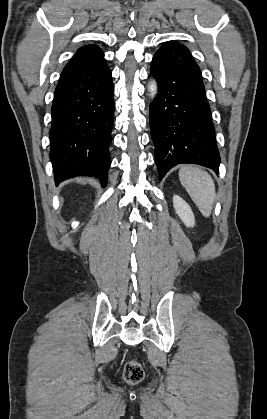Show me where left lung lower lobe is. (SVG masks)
Listing matches in <instances>:
<instances>
[{
	"label": "left lung lower lobe",
	"instance_id": "left-lung-lower-lobe-1",
	"mask_svg": "<svg viewBox=\"0 0 267 419\" xmlns=\"http://www.w3.org/2000/svg\"><path fill=\"white\" fill-rule=\"evenodd\" d=\"M150 70L158 82L149 110L159 180L181 163L218 173L220 156L211 110L191 53L179 43L166 42L154 54Z\"/></svg>",
	"mask_w": 267,
	"mask_h": 419
}]
</instances>
